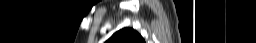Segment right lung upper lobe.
<instances>
[{
    "label": "right lung upper lobe",
    "mask_w": 256,
    "mask_h": 43,
    "mask_svg": "<svg viewBox=\"0 0 256 43\" xmlns=\"http://www.w3.org/2000/svg\"><path fill=\"white\" fill-rule=\"evenodd\" d=\"M106 43H145V41L134 29L124 28L114 33Z\"/></svg>",
    "instance_id": "1"
}]
</instances>
